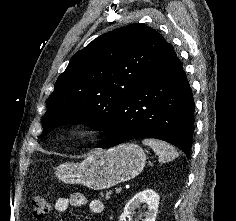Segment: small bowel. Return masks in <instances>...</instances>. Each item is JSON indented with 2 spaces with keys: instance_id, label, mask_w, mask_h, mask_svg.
Returning <instances> with one entry per match:
<instances>
[{
  "instance_id": "small-bowel-1",
  "label": "small bowel",
  "mask_w": 236,
  "mask_h": 221,
  "mask_svg": "<svg viewBox=\"0 0 236 221\" xmlns=\"http://www.w3.org/2000/svg\"><path fill=\"white\" fill-rule=\"evenodd\" d=\"M86 205L89 206L90 212L94 215L102 214L104 211V203L101 200L88 201L81 193H74L69 198H57L54 203V209L56 212L62 213L67 211L69 207H83Z\"/></svg>"
}]
</instances>
